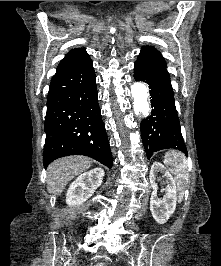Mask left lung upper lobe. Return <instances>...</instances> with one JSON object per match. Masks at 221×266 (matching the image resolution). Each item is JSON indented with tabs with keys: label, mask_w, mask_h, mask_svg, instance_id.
Instances as JSON below:
<instances>
[{
	"label": "left lung upper lobe",
	"mask_w": 221,
	"mask_h": 266,
	"mask_svg": "<svg viewBox=\"0 0 221 266\" xmlns=\"http://www.w3.org/2000/svg\"><path fill=\"white\" fill-rule=\"evenodd\" d=\"M137 61L155 68L166 69L167 67L161 53L152 46H143L138 55Z\"/></svg>",
	"instance_id": "1"
}]
</instances>
